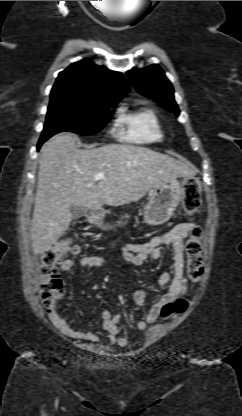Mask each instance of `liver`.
<instances>
[{
    "label": "liver",
    "mask_w": 242,
    "mask_h": 416,
    "mask_svg": "<svg viewBox=\"0 0 242 416\" xmlns=\"http://www.w3.org/2000/svg\"><path fill=\"white\" fill-rule=\"evenodd\" d=\"M79 138L64 133L41 148L31 222L35 255L48 251L68 230L70 206L101 209L136 202L171 178L196 171L175 158L131 144L79 149ZM103 172L105 179L95 180Z\"/></svg>",
    "instance_id": "6515ba94"
}]
</instances>
